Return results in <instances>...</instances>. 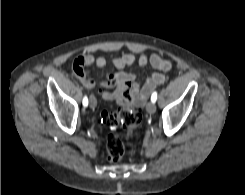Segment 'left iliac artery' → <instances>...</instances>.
<instances>
[{
    "mask_svg": "<svg viewBox=\"0 0 245 195\" xmlns=\"http://www.w3.org/2000/svg\"><path fill=\"white\" fill-rule=\"evenodd\" d=\"M156 100H157V92L155 91V92H153L152 95H151V101L155 103Z\"/></svg>",
    "mask_w": 245,
    "mask_h": 195,
    "instance_id": "left-iliac-artery-1",
    "label": "left iliac artery"
}]
</instances>
